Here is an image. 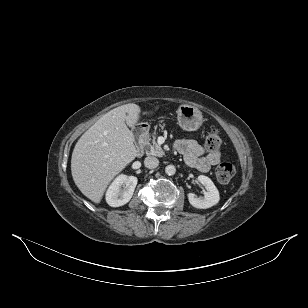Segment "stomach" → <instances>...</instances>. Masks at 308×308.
<instances>
[{
  "mask_svg": "<svg viewBox=\"0 0 308 308\" xmlns=\"http://www.w3.org/2000/svg\"><path fill=\"white\" fill-rule=\"evenodd\" d=\"M179 126L185 131H196L202 125L201 111L191 105H181L177 111Z\"/></svg>",
  "mask_w": 308,
  "mask_h": 308,
  "instance_id": "obj_1",
  "label": "stomach"
}]
</instances>
